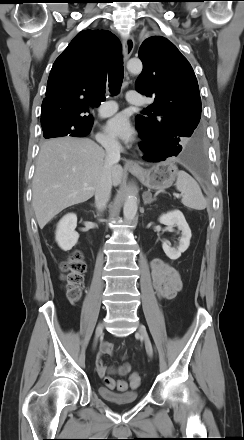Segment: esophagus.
<instances>
[{
	"instance_id": "1",
	"label": "esophagus",
	"mask_w": 244,
	"mask_h": 440,
	"mask_svg": "<svg viewBox=\"0 0 244 440\" xmlns=\"http://www.w3.org/2000/svg\"><path fill=\"white\" fill-rule=\"evenodd\" d=\"M123 44V58H124V62H127V60L130 58L134 47H135V42L132 36H126L123 38L122 41ZM125 166L129 167V168H133V169H139L140 166L138 163H136L133 160H127L125 162Z\"/></svg>"
}]
</instances>
